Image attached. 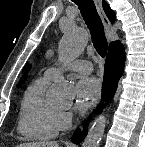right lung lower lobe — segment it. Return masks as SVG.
Returning <instances> with one entry per match:
<instances>
[{
  "instance_id": "1",
  "label": "right lung lower lobe",
  "mask_w": 145,
  "mask_h": 147,
  "mask_svg": "<svg viewBox=\"0 0 145 147\" xmlns=\"http://www.w3.org/2000/svg\"><path fill=\"white\" fill-rule=\"evenodd\" d=\"M125 64V51L120 41H114L109 46V52L105 62L104 79L102 84V100L109 103L117 89L118 81L123 73ZM103 105H101L102 109ZM87 132L82 131L73 135L72 141L76 144L81 142Z\"/></svg>"
}]
</instances>
